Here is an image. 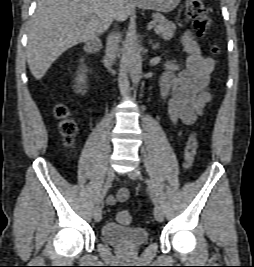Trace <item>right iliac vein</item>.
Masks as SVG:
<instances>
[{"label":"right iliac vein","mask_w":254,"mask_h":267,"mask_svg":"<svg viewBox=\"0 0 254 267\" xmlns=\"http://www.w3.org/2000/svg\"><path fill=\"white\" fill-rule=\"evenodd\" d=\"M114 171L112 168H107L106 170V177L107 178H113ZM93 217L96 222H100L102 219V208L100 205H96L93 210Z\"/></svg>","instance_id":"obj_1"}]
</instances>
